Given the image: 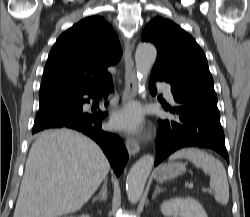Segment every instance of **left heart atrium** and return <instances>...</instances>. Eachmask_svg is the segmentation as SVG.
<instances>
[{"label":"left heart atrium","instance_id":"1","mask_svg":"<svg viewBox=\"0 0 250 217\" xmlns=\"http://www.w3.org/2000/svg\"><path fill=\"white\" fill-rule=\"evenodd\" d=\"M111 125L116 129L136 132L142 125L140 111L135 106H127L112 115Z\"/></svg>","mask_w":250,"mask_h":217}]
</instances>
